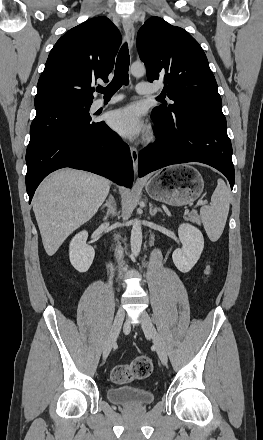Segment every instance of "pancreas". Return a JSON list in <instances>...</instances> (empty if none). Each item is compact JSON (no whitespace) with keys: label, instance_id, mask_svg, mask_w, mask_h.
Masks as SVG:
<instances>
[{"label":"pancreas","instance_id":"cf45deb5","mask_svg":"<svg viewBox=\"0 0 263 440\" xmlns=\"http://www.w3.org/2000/svg\"><path fill=\"white\" fill-rule=\"evenodd\" d=\"M188 219H189L191 222H194V223H196V224H198V225H200V223H201L200 217L198 216V214H197L196 211L191 212V213L188 215Z\"/></svg>","mask_w":263,"mask_h":440}]
</instances>
